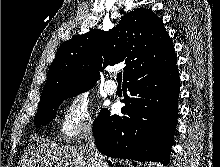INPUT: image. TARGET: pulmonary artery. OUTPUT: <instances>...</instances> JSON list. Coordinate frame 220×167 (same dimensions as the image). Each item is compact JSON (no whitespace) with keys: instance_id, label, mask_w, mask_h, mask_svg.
Masks as SVG:
<instances>
[{"instance_id":"e3ab8cb5","label":"pulmonary artery","mask_w":220,"mask_h":167,"mask_svg":"<svg viewBox=\"0 0 220 167\" xmlns=\"http://www.w3.org/2000/svg\"><path fill=\"white\" fill-rule=\"evenodd\" d=\"M104 89L108 94L112 95L116 92L117 86L113 81H107L104 84Z\"/></svg>"}]
</instances>
